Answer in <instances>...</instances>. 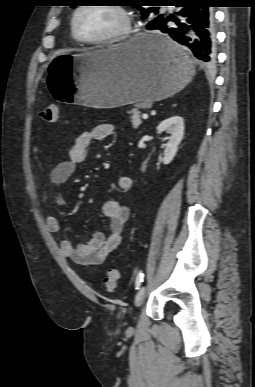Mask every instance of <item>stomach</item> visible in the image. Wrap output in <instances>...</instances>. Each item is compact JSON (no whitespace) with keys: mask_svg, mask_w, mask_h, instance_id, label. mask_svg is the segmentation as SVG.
Returning <instances> with one entry per match:
<instances>
[{"mask_svg":"<svg viewBox=\"0 0 255 387\" xmlns=\"http://www.w3.org/2000/svg\"><path fill=\"white\" fill-rule=\"evenodd\" d=\"M167 59L148 44V34L106 49L54 56L46 83L56 104L70 108H113L168 98L193 78L192 62Z\"/></svg>","mask_w":255,"mask_h":387,"instance_id":"0dacf381","label":"stomach"}]
</instances>
